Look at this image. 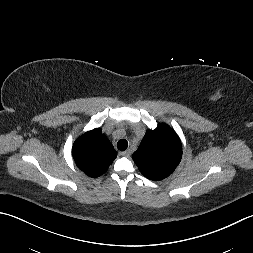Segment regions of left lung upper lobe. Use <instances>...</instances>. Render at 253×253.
I'll list each match as a JSON object with an SVG mask.
<instances>
[{
	"label": "left lung upper lobe",
	"instance_id": "left-lung-upper-lobe-1",
	"mask_svg": "<svg viewBox=\"0 0 253 253\" xmlns=\"http://www.w3.org/2000/svg\"><path fill=\"white\" fill-rule=\"evenodd\" d=\"M182 145L175 131L166 124L145 133L133 160L148 179L161 180L169 176L180 163Z\"/></svg>",
	"mask_w": 253,
	"mask_h": 253
}]
</instances>
